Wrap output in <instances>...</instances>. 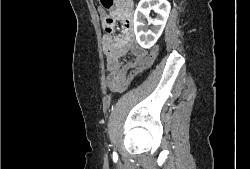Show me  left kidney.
<instances>
[{
    "instance_id": "5707ae66",
    "label": "left kidney",
    "mask_w": 250,
    "mask_h": 169,
    "mask_svg": "<svg viewBox=\"0 0 250 169\" xmlns=\"http://www.w3.org/2000/svg\"><path fill=\"white\" fill-rule=\"evenodd\" d=\"M157 12L156 18L149 16L150 10ZM171 4L168 0H140L134 12V32L136 40L143 48H150L161 36L164 26L169 16ZM145 18H148L149 24H154L156 30H148V34L144 32Z\"/></svg>"
}]
</instances>
